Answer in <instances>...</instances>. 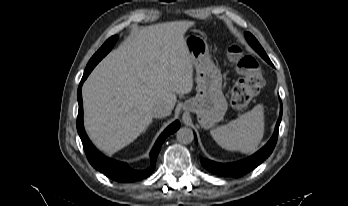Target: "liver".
I'll use <instances>...</instances> for the list:
<instances>
[{"instance_id": "obj_1", "label": "liver", "mask_w": 348, "mask_h": 206, "mask_svg": "<svg viewBox=\"0 0 348 206\" xmlns=\"http://www.w3.org/2000/svg\"><path fill=\"white\" fill-rule=\"evenodd\" d=\"M194 23H158L133 32L93 69L82 89L84 126L111 156L152 122L153 109L173 110L176 94L193 89V58L184 34Z\"/></svg>"}]
</instances>
